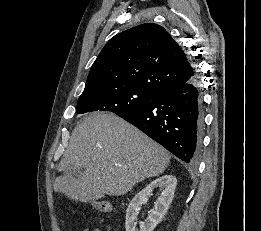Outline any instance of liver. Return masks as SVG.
I'll return each mask as SVG.
<instances>
[{
  "label": "liver",
  "instance_id": "1",
  "mask_svg": "<svg viewBox=\"0 0 261 231\" xmlns=\"http://www.w3.org/2000/svg\"><path fill=\"white\" fill-rule=\"evenodd\" d=\"M169 153L112 113L95 112L75 127L58 165L54 190L76 202L123 195L146 178L162 174ZM82 169L78 177L76 169Z\"/></svg>",
  "mask_w": 261,
  "mask_h": 231
}]
</instances>
